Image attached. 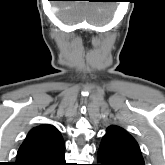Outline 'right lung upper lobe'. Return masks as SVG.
I'll list each match as a JSON object with an SVG mask.
<instances>
[{"mask_svg": "<svg viewBox=\"0 0 165 165\" xmlns=\"http://www.w3.org/2000/svg\"><path fill=\"white\" fill-rule=\"evenodd\" d=\"M61 136L58 129L49 124H43L30 130L25 141L20 146L15 165L27 161L30 157L41 152L40 147Z\"/></svg>", "mask_w": 165, "mask_h": 165, "instance_id": "obj_1", "label": "right lung upper lobe"}]
</instances>
